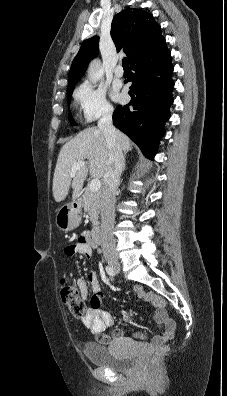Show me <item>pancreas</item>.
Returning <instances> with one entry per match:
<instances>
[{
  "instance_id": "1",
  "label": "pancreas",
  "mask_w": 227,
  "mask_h": 396,
  "mask_svg": "<svg viewBox=\"0 0 227 396\" xmlns=\"http://www.w3.org/2000/svg\"><path fill=\"white\" fill-rule=\"evenodd\" d=\"M84 211L88 213L93 225H98V217L101 208V193L93 192L87 188L83 195Z\"/></svg>"
}]
</instances>
